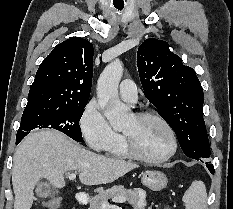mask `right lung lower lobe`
<instances>
[{"label": "right lung lower lobe", "mask_w": 233, "mask_h": 209, "mask_svg": "<svg viewBox=\"0 0 233 209\" xmlns=\"http://www.w3.org/2000/svg\"><path fill=\"white\" fill-rule=\"evenodd\" d=\"M22 139H23V137L22 138H17L16 137V144H18Z\"/></svg>", "instance_id": "1"}]
</instances>
